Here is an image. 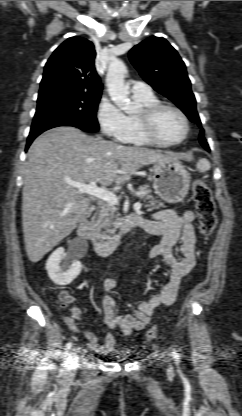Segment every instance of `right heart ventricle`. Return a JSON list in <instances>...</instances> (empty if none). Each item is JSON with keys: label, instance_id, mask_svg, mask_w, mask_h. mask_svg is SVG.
<instances>
[{"label": "right heart ventricle", "instance_id": "1", "mask_svg": "<svg viewBox=\"0 0 242 416\" xmlns=\"http://www.w3.org/2000/svg\"><path fill=\"white\" fill-rule=\"evenodd\" d=\"M134 98L143 107L159 103L158 98L152 92L146 95H134ZM127 119L128 132L126 137L123 139L124 142L138 146L153 144L143 135L138 121V115H129L127 116Z\"/></svg>", "mask_w": 242, "mask_h": 416}]
</instances>
